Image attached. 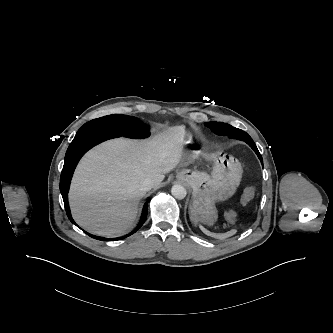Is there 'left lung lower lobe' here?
Instances as JSON below:
<instances>
[{
  "instance_id": "0a47b994",
  "label": "left lung lower lobe",
  "mask_w": 333,
  "mask_h": 333,
  "mask_svg": "<svg viewBox=\"0 0 333 333\" xmlns=\"http://www.w3.org/2000/svg\"><path fill=\"white\" fill-rule=\"evenodd\" d=\"M246 143L255 151V153L258 155L259 159H261V155L255 145V143L253 142L252 139H246Z\"/></svg>"
}]
</instances>
